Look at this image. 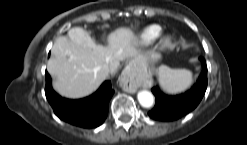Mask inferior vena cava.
<instances>
[{"instance_id": "1", "label": "inferior vena cava", "mask_w": 247, "mask_h": 145, "mask_svg": "<svg viewBox=\"0 0 247 145\" xmlns=\"http://www.w3.org/2000/svg\"><path fill=\"white\" fill-rule=\"evenodd\" d=\"M103 71H104V73H105L106 75H108V73H109V68H108V66H105V67L103 68Z\"/></svg>"}]
</instances>
